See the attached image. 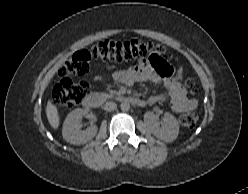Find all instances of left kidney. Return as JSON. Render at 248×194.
<instances>
[{
    "label": "left kidney",
    "mask_w": 248,
    "mask_h": 194,
    "mask_svg": "<svg viewBox=\"0 0 248 194\" xmlns=\"http://www.w3.org/2000/svg\"><path fill=\"white\" fill-rule=\"evenodd\" d=\"M151 133L157 138L169 143L174 141L179 133V123L171 114H165L164 120L161 123H155L151 128Z\"/></svg>",
    "instance_id": "obj_1"
}]
</instances>
